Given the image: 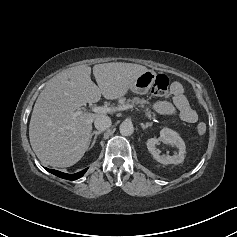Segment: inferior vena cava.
<instances>
[{"instance_id": "602c4592", "label": "inferior vena cava", "mask_w": 237, "mask_h": 237, "mask_svg": "<svg viewBox=\"0 0 237 237\" xmlns=\"http://www.w3.org/2000/svg\"><path fill=\"white\" fill-rule=\"evenodd\" d=\"M95 128L99 131H104L111 126V119L106 115L98 116L94 120Z\"/></svg>"}]
</instances>
